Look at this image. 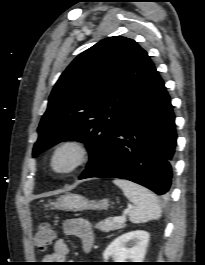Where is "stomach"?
Listing matches in <instances>:
<instances>
[{"instance_id": "0dacf381", "label": "stomach", "mask_w": 205, "mask_h": 265, "mask_svg": "<svg viewBox=\"0 0 205 265\" xmlns=\"http://www.w3.org/2000/svg\"><path fill=\"white\" fill-rule=\"evenodd\" d=\"M108 206V201L105 199L100 201L88 200L84 196L74 193L62 195L53 203V209L74 212L82 210H102L107 209Z\"/></svg>"}]
</instances>
